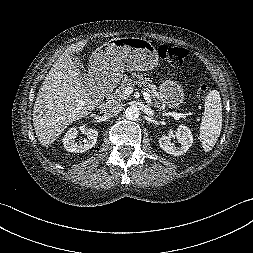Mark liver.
<instances>
[{"instance_id": "6515ba94", "label": "liver", "mask_w": 253, "mask_h": 253, "mask_svg": "<svg viewBox=\"0 0 253 253\" xmlns=\"http://www.w3.org/2000/svg\"><path fill=\"white\" fill-rule=\"evenodd\" d=\"M87 43L84 40L69 46L40 87L33 108V126L44 146L53 144L70 124L89 115L97 105L80 80L79 63L74 57Z\"/></svg>"}]
</instances>
